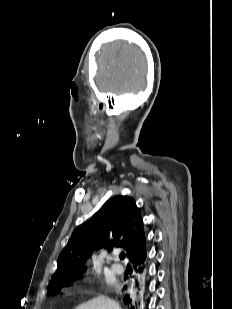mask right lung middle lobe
I'll return each mask as SVG.
<instances>
[{"instance_id":"1","label":"right lung middle lobe","mask_w":232,"mask_h":309,"mask_svg":"<svg viewBox=\"0 0 232 309\" xmlns=\"http://www.w3.org/2000/svg\"><path fill=\"white\" fill-rule=\"evenodd\" d=\"M62 285V282H57V283H52L50 285V291L48 290V293L49 294H57L59 293L60 289H61V286Z\"/></svg>"}]
</instances>
